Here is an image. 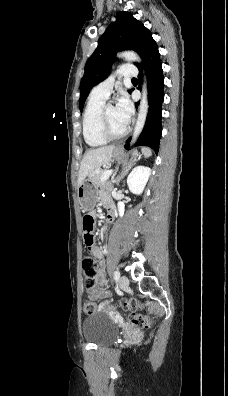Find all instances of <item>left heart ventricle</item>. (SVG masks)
I'll use <instances>...</instances> for the list:
<instances>
[{"mask_svg": "<svg viewBox=\"0 0 228 396\" xmlns=\"http://www.w3.org/2000/svg\"><path fill=\"white\" fill-rule=\"evenodd\" d=\"M107 122L110 130L114 133H120L126 127V124L118 117L116 108L113 105H109L107 108Z\"/></svg>", "mask_w": 228, "mask_h": 396, "instance_id": "left-heart-ventricle-1", "label": "left heart ventricle"}]
</instances>
